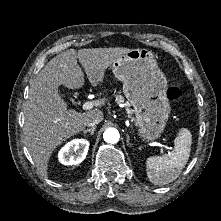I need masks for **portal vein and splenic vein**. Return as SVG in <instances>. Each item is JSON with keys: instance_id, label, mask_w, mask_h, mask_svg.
<instances>
[{"instance_id": "1", "label": "portal vein and splenic vein", "mask_w": 221, "mask_h": 221, "mask_svg": "<svg viewBox=\"0 0 221 221\" xmlns=\"http://www.w3.org/2000/svg\"><path fill=\"white\" fill-rule=\"evenodd\" d=\"M95 103L93 101H87L85 102L83 105H82V109L83 110H90L94 107ZM158 145L161 147V148H164V146L160 143H158Z\"/></svg>"}]
</instances>
